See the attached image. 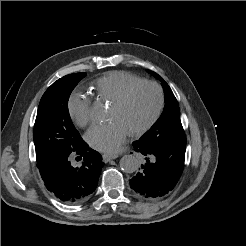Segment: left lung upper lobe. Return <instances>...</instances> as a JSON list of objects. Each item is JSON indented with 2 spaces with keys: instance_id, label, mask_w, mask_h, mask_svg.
<instances>
[{
  "instance_id": "1",
  "label": "left lung upper lobe",
  "mask_w": 246,
  "mask_h": 246,
  "mask_svg": "<svg viewBox=\"0 0 246 246\" xmlns=\"http://www.w3.org/2000/svg\"><path fill=\"white\" fill-rule=\"evenodd\" d=\"M152 74L161 81L165 92V108L160 118L139 140L145 144L186 145V136L180 120L178 102L169 85L157 73Z\"/></svg>"
}]
</instances>
